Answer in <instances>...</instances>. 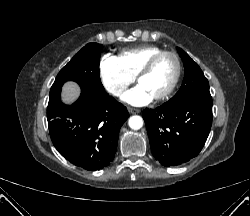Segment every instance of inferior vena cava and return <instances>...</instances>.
Wrapping results in <instances>:
<instances>
[{
	"label": "inferior vena cava",
	"instance_id": "602c4592",
	"mask_svg": "<svg viewBox=\"0 0 250 216\" xmlns=\"http://www.w3.org/2000/svg\"><path fill=\"white\" fill-rule=\"evenodd\" d=\"M122 91H123L122 89L115 88V89H113L112 93L114 95H119L120 93H122Z\"/></svg>",
	"mask_w": 250,
	"mask_h": 216
}]
</instances>
